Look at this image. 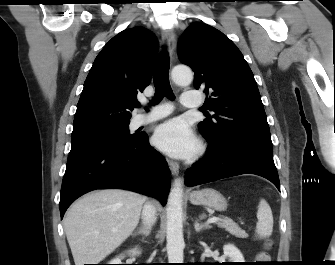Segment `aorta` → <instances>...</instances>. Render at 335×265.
<instances>
[{"label": "aorta", "instance_id": "1", "mask_svg": "<svg viewBox=\"0 0 335 265\" xmlns=\"http://www.w3.org/2000/svg\"><path fill=\"white\" fill-rule=\"evenodd\" d=\"M172 80L178 85H189L193 73L189 67L176 66L172 69ZM183 184L180 179L174 181L167 202L166 249L169 263H183Z\"/></svg>", "mask_w": 335, "mask_h": 265}]
</instances>
